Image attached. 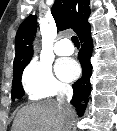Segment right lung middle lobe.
Listing matches in <instances>:
<instances>
[{"instance_id":"1","label":"right lung middle lobe","mask_w":117,"mask_h":131,"mask_svg":"<svg viewBox=\"0 0 117 131\" xmlns=\"http://www.w3.org/2000/svg\"><path fill=\"white\" fill-rule=\"evenodd\" d=\"M25 66L18 68L14 71L12 82V100L15 98L20 99L24 96V90L21 84L22 72Z\"/></svg>"}]
</instances>
